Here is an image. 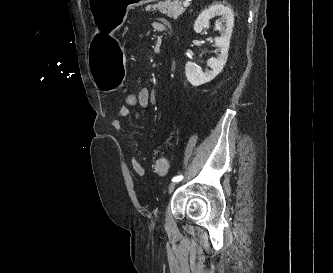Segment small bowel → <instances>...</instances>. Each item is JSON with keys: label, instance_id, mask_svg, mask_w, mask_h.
<instances>
[{"label": "small bowel", "instance_id": "small-bowel-1", "mask_svg": "<svg viewBox=\"0 0 333 273\" xmlns=\"http://www.w3.org/2000/svg\"><path fill=\"white\" fill-rule=\"evenodd\" d=\"M154 28L157 31H164L167 29V25L163 22H155ZM133 94V93H130ZM138 100L136 101L140 107L143 109H147L150 104V91L148 88H142L138 92ZM131 117L133 120L137 121L139 119L138 114L132 113L130 109H123L122 106L119 108L117 113V118L113 120L112 126L115 131L119 132L123 128V119ZM130 166L132 170L135 172L138 176H143L145 173L144 167L142 164L137 160L136 157L132 156L129 159Z\"/></svg>", "mask_w": 333, "mask_h": 273}]
</instances>
